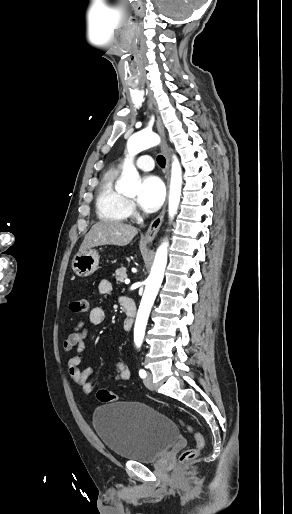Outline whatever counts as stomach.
Masks as SVG:
<instances>
[{
    "label": "stomach",
    "mask_w": 292,
    "mask_h": 514,
    "mask_svg": "<svg viewBox=\"0 0 292 514\" xmlns=\"http://www.w3.org/2000/svg\"><path fill=\"white\" fill-rule=\"evenodd\" d=\"M100 256L97 250H83L78 252L72 260V270L76 276H91L98 270Z\"/></svg>",
    "instance_id": "0dacf381"
}]
</instances>
